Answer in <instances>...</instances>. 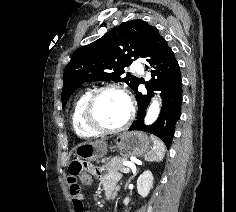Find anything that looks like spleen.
<instances>
[{"instance_id":"3e777b00","label":"spleen","mask_w":236,"mask_h":212,"mask_svg":"<svg viewBox=\"0 0 236 212\" xmlns=\"http://www.w3.org/2000/svg\"><path fill=\"white\" fill-rule=\"evenodd\" d=\"M151 140L153 142V147L151 151H149L145 156L144 159L148 162H159L162 161L165 154V145L163 142L158 139L156 136L152 135Z\"/></svg>"}]
</instances>
